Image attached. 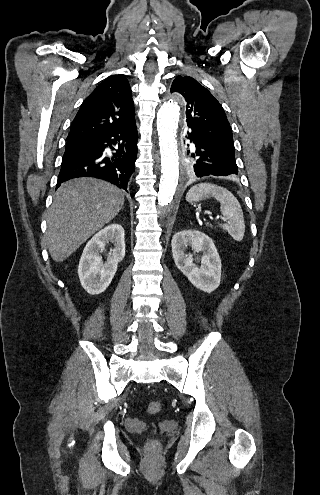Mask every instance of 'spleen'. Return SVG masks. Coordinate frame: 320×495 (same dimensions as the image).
I'll return each mask as SVG.
<instances>
[{"label": "spleen", "mask_w": 320, "mask_h": 495, "mask_svg": "<svg viewBox=\"0 0 320 495\" xmlns=\"http://www.w3.org/2000/svg\"><path fill=\"white\" fill-rule=\"evenodd\" d=\"M210 197L220 202V211L226 218V222L219 224V227L227 231L235 241L240 242L245 233L243 211L237 198L229 190L212 183H200L188 191L186 200L193 203Z\"/></svg>", "instance_id": "3e777b00"}]
</instances>
